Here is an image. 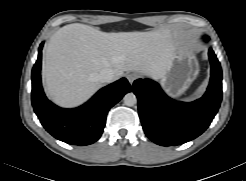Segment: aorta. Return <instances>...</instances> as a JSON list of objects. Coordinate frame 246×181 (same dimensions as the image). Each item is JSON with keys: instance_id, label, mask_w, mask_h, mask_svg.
I'll return each instance as SVG.
<instances>
[{"instance_id": "762f6f07", "label": "aorta", "mask_w": 246, "mask_h": 181, "mask_svg": "<svg viewBox=\"0 0 246 181\" xmlns=\"http://www.w3.org/2000/svg\"><path fill=\"white\" fill-rule=\"evenodd\" d=\"M123 101L126 106L131 107L137 103V97L134 93L130 92L124 96Z\"/></svg>"}]
</instances>
